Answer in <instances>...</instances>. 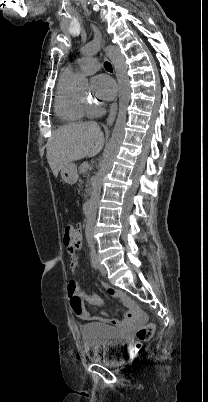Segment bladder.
Returning a JSON list of instances; mask_svg holds the SVG:
<instances>
[{
  "label": "bladder",
  "mask_w": 208,
  "mask_h": 402,
  "mask_svg": "<svg viewBox=\"0 0 208 402\" xmlns=\"http://www.w3.org/2000/svg\"><path fill=\"white\" fill-rule=\"evenodd\" d=\"M81 330L88 358L103 364L115 363L113 357L122 351L125 342L116 328L109 324L93 323L82 326Z\"/></svg>",
  "instance_id": "1"
}]
</instances>
